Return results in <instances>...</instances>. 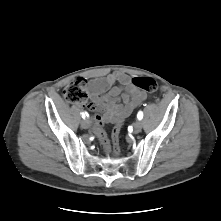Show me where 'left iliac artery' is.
I'll use <instances>...</instances> for the list:
<instances>
[{"label":"left iliac artery","instance_id":"left-iliac-artery-1","mask_svg":"<svg viewBox=\"0 0 221 221\" xmlns=\"http://www.w3.org/2000/svg\"><path fill=\"white\" fill-rule=\"evenodd\" d=\"M137 118L141 120L143 118V112L139 111L137 114Z\"/></svg>","mask_w":221,"mask_h":221}]
</instances>
